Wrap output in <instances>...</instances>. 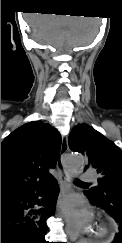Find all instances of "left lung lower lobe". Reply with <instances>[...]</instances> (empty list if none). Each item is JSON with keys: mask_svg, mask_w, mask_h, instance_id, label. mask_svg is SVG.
<instances>
[{"mask_svg": "<svg viewBox=\"0 0 122 243\" xmlns=\"http://www.w3.org/2000/svg\"><path fill=\"white\" fill-rule=\"evenodd\" d=\"M107 189L110 192V196L114 199L121 201L122 199V181H115L113 183L108 184ZM85 195L89 198L91 204L96 205L97 207H100L107 211L108 213L111 212V209L106 206V202L103 200H97L90 196L88 193H85ZM115 202V201H114ZM112 243H122V223L119 224V233L116 234L115 240Z\"/></svg>", "mask_w": 122, "mask_h": 243, "instance_id": "1", "label": "left lung lower lobe"}]
</instances>
